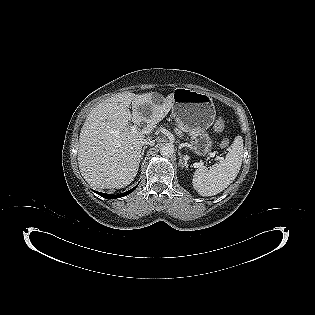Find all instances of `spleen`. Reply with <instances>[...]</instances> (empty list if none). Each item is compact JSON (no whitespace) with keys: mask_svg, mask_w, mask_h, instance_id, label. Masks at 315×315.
Listing matches in <instances>:
<instances>
[{"mask_svg":"<svg viewBox=\"0 0 315 315\" xmlns=\"http://www.w3.org/2000/svg\"><path fill=\"white\" fill-rule=\"evenodd\" d=\"M243 151V139L237 136L221 163L212 165L210 169L200 166L194 172V189L202 196H213L222 192L237 177L242 165Z\"/></svg>","mask_w":315,"mask_h":315,"instance_id":"1","label":"spleen"}]
</instances>
